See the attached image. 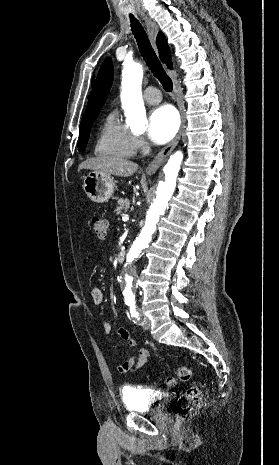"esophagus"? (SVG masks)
I'll use <instances>...</instances> for the list:
<instances>
[{
    "instance_id": "34e87169",
    "label": "esophagus",
    "mask_w": 279,
    "mask_h": 465,
    "mask_svg": "<svg viewBox=\"0 0 279 465\" xmlns=\"http://www.w3.org/2000/svg\"><path fill=\"white\" fill-rule=\"evenodd\" d=\"M142 19H143V21H144V23L146 25L147 32H148L150 41L152 43V46L157 51L156 37H157L158 32H159L158 26L156 25V23H154L150 18H148L145 15H142ZM173 89H174V93H175L176 98H177V102L179 104V101H178V86H177V81L175 79L173 80ZM182 129L183 128L181 126V128H180L177 136L175 137V139L171 143H169L167 146H165L157 154V156L153 159V161L147 166V168H146L147 174H149V175L154 174L161 167V165L166 161L167 157L172 153V151L174 150V148L178 144V142L180 140V137H181V134H182Z\"/></svg>"
}]
</instances>
